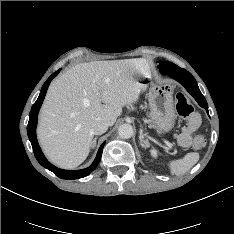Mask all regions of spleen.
I'll list each match as a JSON object with an SVG mask.
<instances>
[{
    "instance_id": "obj_1",
    "label": "spleen",
    "mask_w": 234,
    "mask_h": 234,
    "mask_svg": "<svg viewBox=\"0 0 234 234\" xmlns=\"http://www.w3.org/2000/svg\"><path fill=\"white\" fill-rule=\"evenodd\" d=\"M199 160V154L191 152L185 155L183 159L170 162V172L172 175H182L189 171Z\"/></svg>"
}]
</instances>
